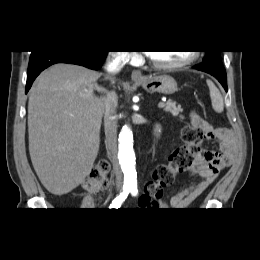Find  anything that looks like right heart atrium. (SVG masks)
<instances>
[{
	"mask_svg": "<svg viewBox=\"0 0 260 260\" xmlns=\"http://www.w3.org/2000/svg\"><path fill=\"white\" fill-rule=\"evenodd\" d=\"M130 58H131V56L128 55V54H122V55H121V59H123V60H128V59H130Z\"/></svg>",
	"mask_w": 260,
	"mask_h": 260,
	"instance_id": "1",
	"label": "right heart atrium"
}]
</instances>
